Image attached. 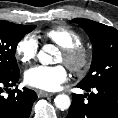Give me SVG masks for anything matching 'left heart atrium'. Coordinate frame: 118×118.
<instances>
[{
  "mask_svg": "<svg viewBox=\"0 0 118 118\" xmlns=\"http://www.w3.org/2000/svg\"><path fill=\"white\" fill-rule=\"evenodd\" d=\"M67 79L68 73L63 65H38L25 72V81L28 85L45 91L58 90Z\"/></svg>",
  "mask_w": 118,
  "mask_h": 118,
  "instance_id": "39dd6f15",
  "label": "left heart atrium"
}]
</instances>
